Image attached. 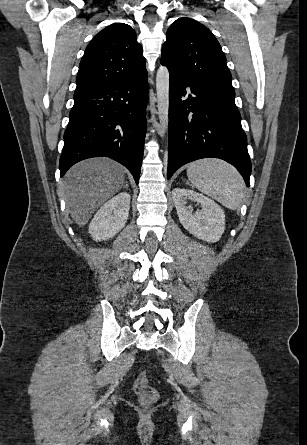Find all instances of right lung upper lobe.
<instances>
[{"label": "right lung upper lobe", "mask_w": 307, "mask_h": 445, "mask_svg": "<svg viewBox=\"0 0 307 445\" xmlns=\"http://www.w3.org/2000/svg\"><path fill=\"white\" fill-rule=\"evenodd\" d=\"M142 47L127 24L114 23L89 43L79 65L76 92L124 81L145 71Z\"/></svg>", "instance_id": "right-lung-upper-lobe-1"}]
</instances>
